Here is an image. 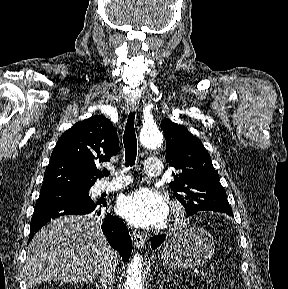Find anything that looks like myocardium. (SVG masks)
<instances>
[{
	"instance_id": "f54148a6",
	"label": "myocardium",
	"mask_w": 288,
	"mask_h": 289,
	"mask_svg": "<svg viewBox=\"0 0 288 289\" xmlns=\"http://www.w3.org/2000/svg\"><path fill=\"white\" fill-rule=\"evenodd\" d=\"M187 215L185 206L176 201L171 206V222L173 229H180L186 224Z\"/></svg>"
}]
</instances>
